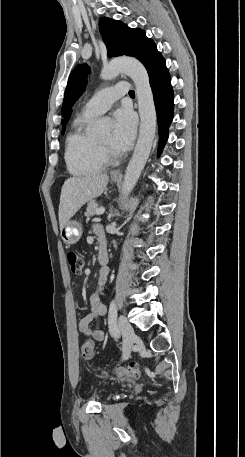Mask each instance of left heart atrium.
<instances>
[{
  "mask_svg": "<svg viewBox=\"0 0 245 457\" xmlns=\"http://www.w3.org/2000/svg\"><path fill=\"white\" fill-rule=\"evenodd\" d=\"M113 121L112 145L119 151H126L131 147L134 139L135 115L130 109L120 108L114 112Z\"/></svg>",
  "mask_w": 245,
  "mask_h": 457,
  "instance_id": "39dd6f15",
  "label": "left heart atrium"
}]
</instances>
